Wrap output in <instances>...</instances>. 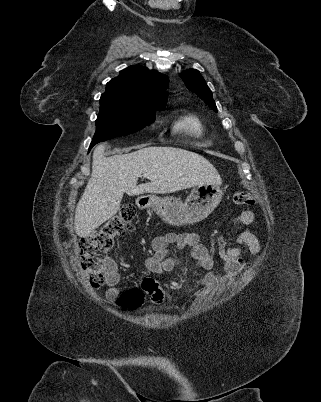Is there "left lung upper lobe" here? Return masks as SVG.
Listing matches in <instances>:
<instances>
[{
	"label": "left lung upper lobe",
	"instance_id": "obj_1",
	"mask_svg": "<svg viewBox=\"0 0 321 402\" xmlns=\"http://www.w3.org/2000/svg\"><path fill=\"white\" fill-rule=\"evenodd\" d=\"M181 78L189 90L197 94L211 109L217 112L212 92L198 70H185L181 73Z\"/></svg>",
	"mask_w": 321,
	"mask_h": 402
}]
</instances>
